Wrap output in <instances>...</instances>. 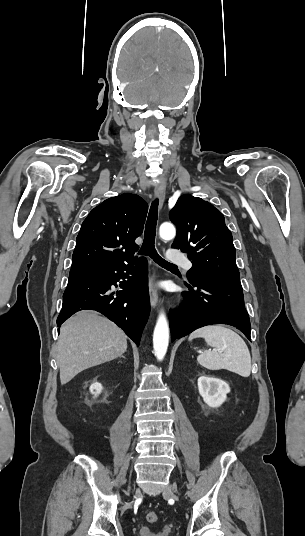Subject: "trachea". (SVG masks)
I'll return each mask as SVG.
<instances>
[{
	"mask_svg": "<svg viewBox=\"0 0 305 536\" xmlns=\"http://www.w3.org/2000/svg\"><path fill=\"white\" fill-rule=\"evenodd\" d=\"M158 219V199H155L150 207L149 215L145 225V234L142 246L139 250L140 255L150 256L158 265L162 266L166 270H178L176 265L169 263V261L164 260L156 251L155 248V236H156V225Z\"/></svg>",
	"mask_w": 305,
	"mask_h": 536,
	"instance_id": "3493384b",
	"label": "trachea"
}]
</instances>
